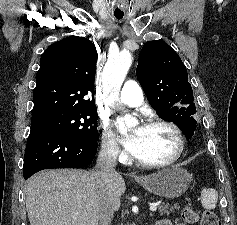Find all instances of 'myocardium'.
<instances>
[{
  "label": "myocardium",
  "instance_id": "obj_1",
  "mask_svg": "<svg viewBox=\"0 0 237 225\" xmlns=\"http://www.w3.org/2000/svg\"><path fill=\"white\" fill-rule=\"evenodd\" d=\"M145 126H148V127L162 126V127H166L170 129L176 137L177 148H176L175 153L166 160L157 161V162H149V161L142 160L138 157H135L136 162L140 164L141 166L148 167V168H162V167H166L175 163L181 157L185 149V138L181 129L175 123L164 120V119H160V118L150 119L149 121L145 123Z\"/></svg>",
  "mask_w": 237,
  "mask_h": 225
}]
</instances>
